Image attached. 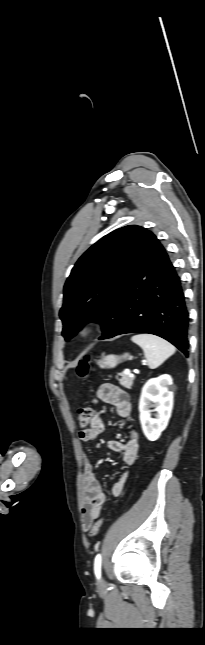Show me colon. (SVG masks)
<instances>
[{
	"instance_id": "1",
	"label": "colon",
	"mask_w": 205,
	"mask_h": 645,
	"mask_svg": "<svg viewBox=\"0 0 205 645\" xmlns=\"http://www.w3.org/2000/svg\"><path fill=\"white\" fill-rule=\"evenodd\" d=\"M76 372L80 378H86L88 376V373H89L88 358H85L79 362ZM93 416H94V413L91 406L80 408L77 412V420L79 422V425L81 427H86L88 424H90ZM102 523H103V519L101 518V519H98L94 524H92V526L90 527L91 537H95L99 533Z\"/></svg>"
}]
</instances>
